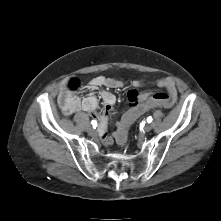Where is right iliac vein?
Here are the masks:
<instances>
[{
	"label": "right iliac vein",
	"mask_w": 221,
	"mask_h": 221,
	"mask_svg": "<svg viewBox=\"0 0 221 221\" xmlns=\"http://www.w3.org/2000/svg\"><path fill=\"white\" fill-rule=\"evenodd\" d=\"M87 131L91 135L95 133V130L92 127H90V126L87 128Z\"/></svg>",
	"instance_id": "1"
}]
</instances>
